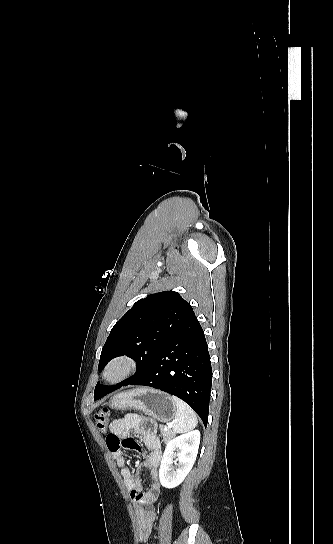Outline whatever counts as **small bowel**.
<instances>
[{
	"label": "small bowel",
	"instance_id": "obj_1",
	"mask_svg": "<svg viewBox=\"0 0 333 544\" xmlns=\"http://www.w3.org/2000/svg\"><path fill=\"white\" fill-rule=\"evenodd\" d=\"M155 423L144 416L128 414L114 420L110 425V432L106 437V445L116 464L121 467V476L127 490L130 492L137 515V537L146 541L149 537L156 517L154 502L160 494L158 467L162 459L161 444L155 432ZM132 434H138L144 447L135 442ZM124 450H135L143 458V468L150 475V487L143 491V485L130 467L126 465Z\"/></svg>",
	"mask_w": 333,
	"mask_h": 544
}]
</instances>
